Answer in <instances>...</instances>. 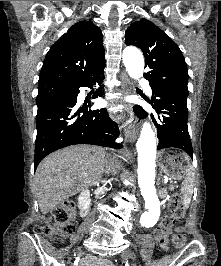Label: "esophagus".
<instances>
[{"mask_svg":"<svg viewBox=\"0 0 221 266\" xmlns=\"http://www.w3.org/2000/svg\"><path fill=\"white\" fill-rule=\"evenodd\" d=\"M120 79H121V92L124 96H126L131 93L130 80L125 73L121 74ZM126 110L129 116L128 122H131L133 116L132 106L127 104ZM125 132L126 135L129 137L130 141H134L136 139L137 129L135 128L134 124H130L128 128L125 130Z\"/></svg>","mask_w":221,"mask_h":266,"instance_id":"obj_1","label":"esophagus"}]
</instances>
